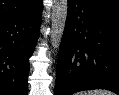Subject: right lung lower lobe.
Listing matches in <instances>:
<instances>
[{"label": "right lung lower lobe", "mask_w": 119, "mask_h": 95, "mask_svg": "<svg viewBox=\"0 0 119 95\" xmlns=\"http://www.w3.org/2000/svg\"><path fill=\"white\" fill-rule=\"evenodd\" d=\"M42 9L40 0L0 22V95H27L29 58L39 37Z\"/></svg>", "instance_id": "98d812e1"}]
</instances>
